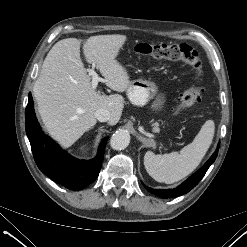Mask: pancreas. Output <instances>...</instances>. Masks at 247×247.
<instances>
[{"label": "pancreas", "mask_w": 247, "mask_h": 247, "mask_svg": "<svg viewBox=\"0 0 247 247\" xmlns=\"http://www.w3.org/2000/svg\"><path fill=\"white\" fill-rule=\"evenodd\" d=\"M154 126L157 127L158 126V123H154Z\"/></svg>", "instance_id": "obj_1"}]
</instances>
